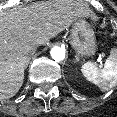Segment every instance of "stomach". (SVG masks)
<instances>
[{
    "mask_svg": "<svg viewBox=\"0 0 117 117\" xmlns=\"http://www.w3.org/2000/svg\"><path fill=\"white\" fill-rule=\"evenodd\" d=\"M69 40L73 49L80 55L90 56L96 52L94 31L84 19H78L72 24Z\"/></svg>",
    "mask_w": 117,
    "mask_h": 117,
    "instance_id": "stomach-1",
    "label": "stomach"
}]
</instances>
